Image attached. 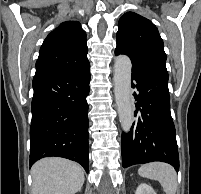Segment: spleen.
<instances>
[{
    "label": "spleen",
    "mask_w": 201,
    "mask_h": 194,
    "mask_svg": "<svg viewBox=\"0 0 201 194\" xmlns=\"http://www.w3.org/2000/svg\"><path fill=\"white\" fill-rule=\"evenodd\" d=\"M138 174L142 177L159 181L166 194H176V172L171 165L160 162L149 163L142 165L138 170Z\"/></svg>",
    "instance_id": "1"
}]
</instances>
